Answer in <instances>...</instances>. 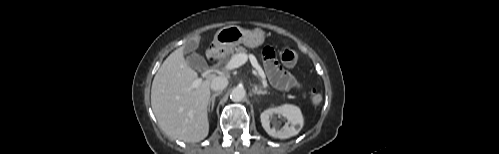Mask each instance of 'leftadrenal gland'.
<instances>
[{"mask_svg":"<svg viewBox=\"0 0 499 154\" xmlns=\"http://www.w3.org/2000/svg\"><path fill=\"white\" fill-rule=\"evenodd\" d=\"M253 94L254 95H265L267 94V91L266 90H261V89H258L257 87H255L253 90H252Z\"/></svg>","mask_w":499,"mask_h":154,"instance_id":"1","label":"left adrenal gland"}]
</instances>
